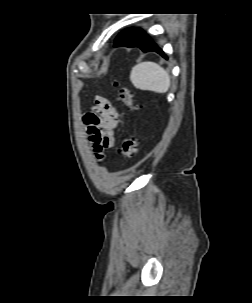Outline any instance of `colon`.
<instances>
[{
    "label": "colon",
    "mask_w": 252,
    "mask_h": 303,
    "mask_svg": "<svg viewBox=\"0 0 252 303\" xmlns=\"http://www.w3.org/2000/svg\"><path fill=\"white\" fill-rule=\"evenodd\" d=\"M113 85L119 90V101L123 103L126 107H128L130 110H135L136 104L132 91L128 87L124 86L119 80H115ZM136 142L137 139L134 136H126L123 139L121 153L126 159H134L136 155Z\"/></svg>",
    "instance_id": "colon-1"
}]
</instances>
